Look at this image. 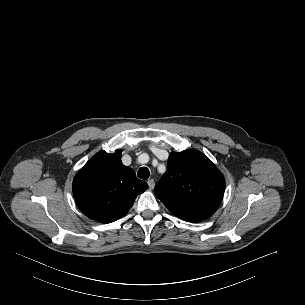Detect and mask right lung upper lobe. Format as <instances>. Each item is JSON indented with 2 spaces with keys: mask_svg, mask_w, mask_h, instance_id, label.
Segmentation results:
<instances>
[{
  "mask_svg": "<svg viewBox=\"0 0 305 305\" xmlns=\"http://www.w3.org/2000/svg\"><path fill=\"white\" fill-rule=\"evenodd\" d=\"M73 195L79 209L100 223L124 216L148 184L121 162V151L95 154L76 174Z\"/></svg>",
  "mask_w": 305,
  "mask_h": 305,
  "instance_id": "cb5924a9",
  "label": "right lung upper lobe"
}]
</instances>
